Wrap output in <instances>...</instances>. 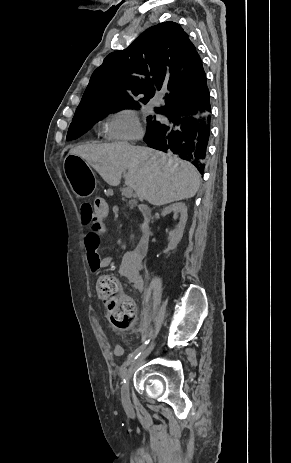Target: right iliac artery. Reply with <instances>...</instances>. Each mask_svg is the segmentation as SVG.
Instances as JSON below:
<instances>
[{
    "label": "right iliac artery",
    "instance_id": "obj_1",
    "mask_svg": "<svg viewBox=\"0 0 291 463\" xmlns=\"http://www.w3.org/2000/svg\"><path fill=\"white\" fill-rule=\"evenodd\" d=\"M149 343V340L145 342L144 345L140 346L139 348H137L133 353L130 354V356L128 357L127 361L125 362L124 364V367L122 369V379L125 383V376H126V368L134 361L137 359L138 356H140L141 354V351L144 349L145 345H147Z\"/></svg>",
    "mask_w": 291,
    "mask_h": 463
}]
</instances>
